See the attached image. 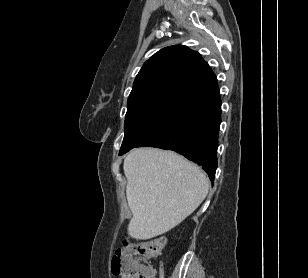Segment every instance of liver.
<instances>
[{"label": "liver", "instance_id": "obj_1", "mask_svg": "<svg viewBox=\"0 0 308 278\" xmlns=\"http://www.w3.org/2000/svg\"><path fill=\"white\" fill-rule=\"evenodd\" d=\"M123 169L133 215L128 234L137 240L171 230L193 213L208 194L206 174L173 151L135 148L125 157Z\"/></svg>", "mask_w": 308, "mask_h": 278}]
</instances>
